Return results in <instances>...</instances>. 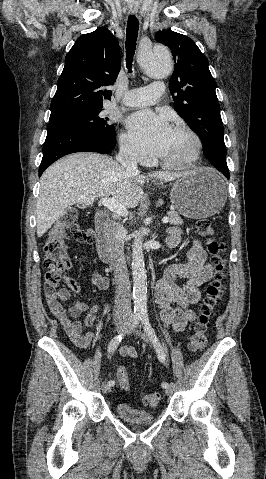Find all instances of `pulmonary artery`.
<instances>
[{
  "instance_id": "e3ab8cb5",
  "label": "pulmonary artery",
  "mask_w": 266,
  "mask_h": 479,
  "mask_svg": "<svg viewBox=\"0 0 266 479\" xmlns=\"http://www.w3.org/2000/svg\"><path fill=\"white\" fill-rule=\"evenodd\" d=\"M164 93V83L156 81L148 86L131 89L124 93L122 104L128 107H145L152 105Z\"/></svg>"
}]
</instances>
